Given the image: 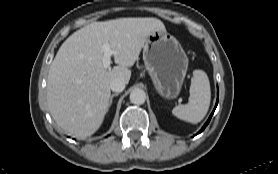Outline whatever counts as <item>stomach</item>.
Segmentation results:
<instances>
[{"mask_svg":"<svg viewBox=\"0 0 278 174\" xmlns=\"http://www.w3.org/2000/svg\"><path fill=\"white\" fill-rule=\"evenodd\" d=\"M143 60L156 91L164 98H176L189 62L179 41L166 30H154L143 45Z\"/></svg>","mask_w":278,"mask_h":174,"instance_id":"0dacf381","label":"stomach"}]
</instances>
